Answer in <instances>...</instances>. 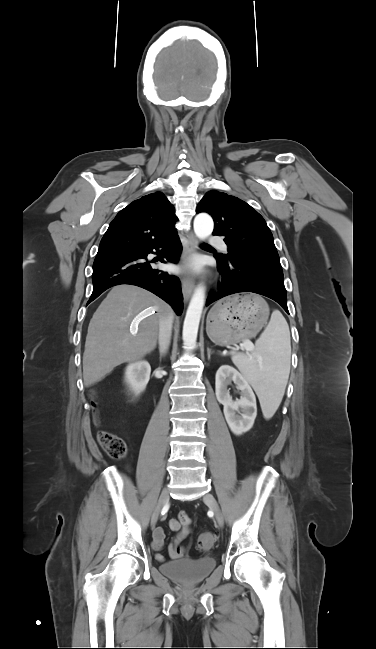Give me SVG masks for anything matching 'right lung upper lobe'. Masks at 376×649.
<instances>
[{"label": "right lung upper lobe", "mask_w": 376, "mask_h": 649, "mask_svg": "<svg viewBox=\"0 0 376 649\" xmlns=\"http://www.w3.org/2000/svg\"><path fill=\"white\" fill-rule=\"evenodd\" d=\"M174 207L161 192L122 209L104 234L97 256L131 252L176 233Z\"/></svg>", "instance_id": "obj_1"}]
</instances>
